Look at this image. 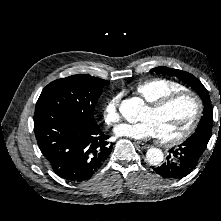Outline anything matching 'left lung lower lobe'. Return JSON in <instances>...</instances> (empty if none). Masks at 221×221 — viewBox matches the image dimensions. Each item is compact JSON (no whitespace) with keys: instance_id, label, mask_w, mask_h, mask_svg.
I'll return each instance as SVG.
<instances>
[{"instance_id":"obj_1","label":"left lung lower lobe","mask_w":221,"mask_h":221,"mask_svg":"<svg viewBox=\"0 0 221 221\" xmlns=\"http://www.w3.org/2000/svg\"><path fill=\"white\" fill-rule=\"evenodd\" d=\"M210 136V132L194 133L177 148H172L167 162L154 170L164 178L181 179L187 176L198 164Z\"/></svg>"}]
</instances>
